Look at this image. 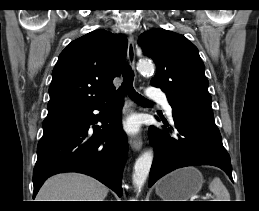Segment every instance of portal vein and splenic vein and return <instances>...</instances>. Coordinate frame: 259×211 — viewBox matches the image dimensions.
<instances>
[{"label":"portal vein and splenic vein","mask_w":259,"mask_h":211,"mask_svg":"<svg viewBox=\"0 0 259 211\" xmlns=\"http://www.w3.org/2000/svg\"><path fill=\"white\" fill-rule=\"evenodd\" d=\"M212 196L210 194H207L206 196L202 197V199H209L211 198Z\"/></svg>","instance_id":"1"}]
</instances>
